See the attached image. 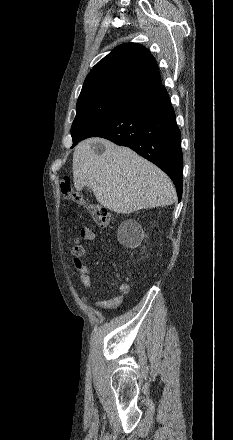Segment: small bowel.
I'll list each match as a JSON object with an SVG mask.
<instances>
[{"label":"small bowel","instance_id":"obj_1","mask_svg":"<svg viewBox=\"0 0 233 440\" xmlns=\"http://www.w3.org/2000/svg\"><path fill=\"white\" fill-rule=\"evenodd\" d=\"M95 238L94 232L90 228H83L80 232V236L74 240L73 245L71 247V253L74 256L73 264L76 270L78 271V278L83 286L92 291L93 289V279L90 273L89 268L83 264L80 260V257L84 256L86 253L85 246L81 243V239L91 242ZM129 293V286L127 284H120L117 288V291L111 297L97 301L95 303V307L97 309H115L117 308L123 301L124 297ZM86 299L83 297V301Z\"/></svg>","mask_w":233,"mask_h":440}]
</instances>
